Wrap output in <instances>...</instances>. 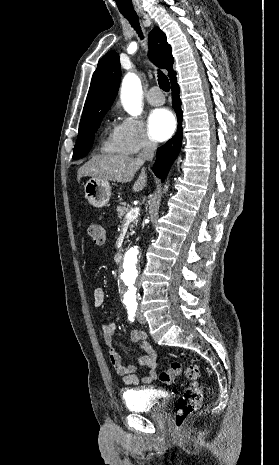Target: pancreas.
<instances>
[{
	"mask_svg": "<svg viewBox=\"0 0 279 465\" xmlns=\"http://www.w3.org/2000/svg\"><path fill=\"white\" fill-rule=\"evenodd\" d=\"M132 209V206L129 205V204H126V203H121L118 207H117V213H118V217L119 218H123L126 216V214L128 212H130ZM138 224V220L135 219L133 220L131 226H130V230L132 231V228H134V226H137Z\"/></svg>",
	"mask_w": 279,
	"mask_h": 465,
	"instance_id": "pancreas-1",
	"label": "pancreas"
}]
</instances>
